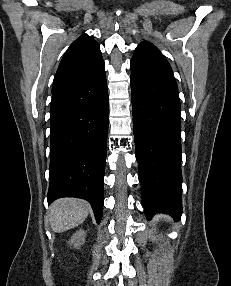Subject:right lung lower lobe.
Listing matches in <instances>:
<instances>
[{
  "mask_svg": "<svg viewBox=\"0 0 231 286\" xmlns=\"http://www.w3.org/2000/svg\"><path fill=\"white\" fill-rule=\"evenodd\" d=\"M52 94L48 202L85 199L100 223L108 131L105 70Z\"/></svg>",
  "mask_w": 231,
  "mask_h": 286,
  "instance_id": "right-lung-lower-lobe-1",
  "label": "right lung lower lobe"
}]
</instances>
